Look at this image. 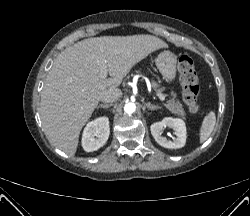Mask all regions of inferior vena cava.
I'll use <instances>...</instances> for the list:
<instances>
[{"label": "inferior vena cava", "instance_id": "obj_1", "mask_svg": "<svg viewBox=\"0 0 250 216\" xmlns=\"http://www.w3.org/2000/svg\"><path fill=\"white\" fill-rule=\"evenodd\" d=\"M122 95V92L118 88H109L108 90L104 91L101 95V101L105 103H113L114 101L118 100Z\"/></svg>", "mask_w": 250, "mask_h": 216}]
</instances>
